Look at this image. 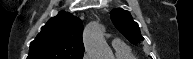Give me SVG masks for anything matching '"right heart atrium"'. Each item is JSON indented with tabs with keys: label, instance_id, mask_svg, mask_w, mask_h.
<instances>
[{
	"label": "right heart atrium",
	"instance_id": "obj_1",
	"mask_svg": "<svg viewBox=\"0 0 193 59\" xmlns=\"http://www.w3.org/2000/svg\"><path fill=\"white\" fill-rule=\"evenodd\" d=\"M83 59H90L89 54L85 53L84 56H83Z\"/></svg>",
	"mask_w": 193,
	"mask_h": 59
}]
</instances>
